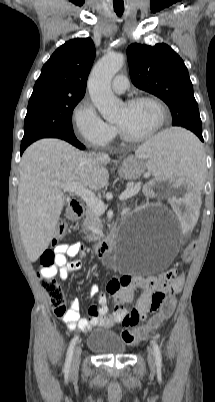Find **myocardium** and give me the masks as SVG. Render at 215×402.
<instances>
[{"label": "myocardium", "instance_id": "1", "mask_svg": "<svg viewBox=\"0 0 215 402\" xmlns=\"http://www.w3.org/2000/svg\"><path fill=\"white\" fill-rule=\"evenodd\" d=\"M151 102L153 103L159 110V122L157 126L149 133L142 135V136H133L128 134L122 126L119 124H116L118 132L120 136L122 137L123 140L130 142V143H141L147 140H150L154 138L165 126L166 120H167V109L164 105V103L157 97L152 96V95H140V96H135L132 97L128 100L125 101V105L131 106L139 102Z\"/></svg>", "mask_w": 215, "mask_h": 402}]
</instances>
